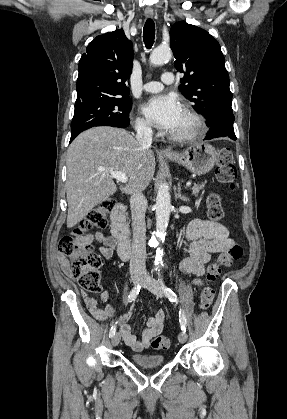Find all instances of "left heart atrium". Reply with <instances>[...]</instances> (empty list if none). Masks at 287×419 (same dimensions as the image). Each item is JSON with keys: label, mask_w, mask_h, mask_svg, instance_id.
Segmentation results:
<instances>
[{"label": "left heart atrium", "mask_w": 287, "mask_h": 419, "mask_svg": "<svg viewBox=\"0 0 287 419\" xmlns=\"http://www.w3.org/2000/svg\"><path fill=\"white\" fill-rule=\"evenodd\" d=\"M144 115L158 128L173 131L184 111L181 102L173 94L151 97L142 107Z\"/></svg>", "instance_id": "1"}]
</instances>
